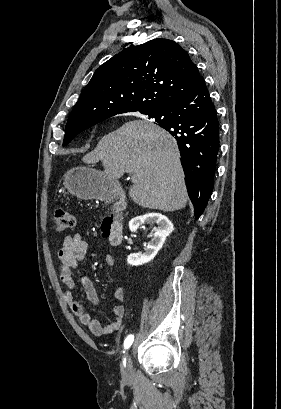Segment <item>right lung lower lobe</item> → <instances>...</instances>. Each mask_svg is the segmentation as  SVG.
Listing matches in <instances>:
<instances>
[{"label": "right lung lower lobe", "mask_w": 281, "mask_h": 409, "mask_svg": "<svg viewBox=\"0 0 281 409\" xmlns=\"http://www.w3.org/2000/svg\"><path fill=\"white\" fill-rule=\"evenodd\" d=\"M149 115L177 141L188 195L198 219L212 193L219 148V121L204 80Z\"/></svg>", "instance_id": "right-lung-lower-lobe-1"}]
</instances>
